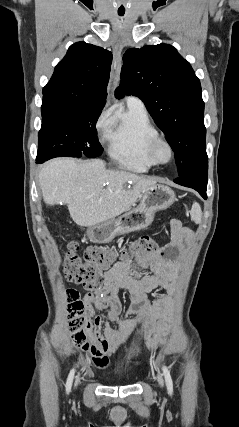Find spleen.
<instances>
[{
	"mask_svg": "<svg viewBox=\"0 0 239 427\" xmlns=\"http://www.w3.org/2000/svg\"><path fill=\"white\" fill-rule=\"evenodd\" d=\"M190 215L192 220L196 224H200L202 222V210L200 205L197 202H194L190 211Z\"/></svg>",
	"mask_w": 239,
	"mask_h": 427,
	"instance_id": "obj_1",
	"label": "spleen"
}]
</instances>
